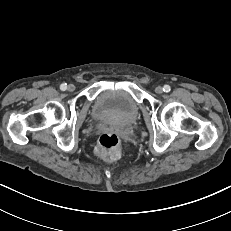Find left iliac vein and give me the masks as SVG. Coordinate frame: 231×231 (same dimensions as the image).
Instances as JSON below:
<instances>
[{
	"instance_id": "left-iliac-vein-1",
	"label": "left iliac vein",
	"mask_w": 231,
	"mask_h": 231,
	"mask_svg": "<svg viewBox=\"0 0 231 231\" xmlns=\"http://www.w3.org/2000/svg\"><path fill=\"white\" fill-rule=\"evenodd\" d=\"M155 92H156L157 94H162V93H163V88H162L161 86H157V87L155 88Z\"/></svg>"
}]
</instances>
